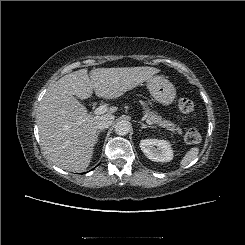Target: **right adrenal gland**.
Returning <instances> with one entry per match:
<instances>
[{
  "instance_id": "obj_1",
  "label": "right adrenal gland",
  "mask_w": 245,
  "mask_h": 245,
  "mask_svg": "<svg viewBox=\"0 0 245 245\" xmlns=\"http://www.w3.org/2000/svg\"><path fill=\"white\" fill-rule=\"evenodd\" d=\"M103 131V129H100L99 131H98V134L100 133V132H102Z\"/></svg>"
}]
</instances>
